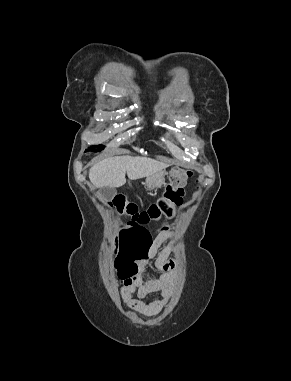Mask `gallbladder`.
<instances>
[{"instance_id": "obj_1", "label": "gallbladder", "mask_w": 291, "mask_h": 381, "mask_svg": "<svg viewBox=\"0 0 291 381\" xmlns=\"http://www.w3.org/2000/svg\"><path fill=\"white\" fill-rule=\"evenodd\" d=\"M99 194L103 201L108 202V201H111L116 196L117 191L115 188L102 187L99 190Z\"/></svg>"}]
</instances>
